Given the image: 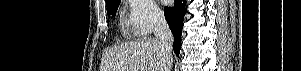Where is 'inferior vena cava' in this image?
Masks as SVG:
<instances>
[{
  "instance_id": "inferior-vena-cava-1",
  "label": "inferior vena cava",
  "mask_w": 301,
  "mask_h": 71,
  "mask_svg": "<svg viewBox=\"0 0 301 71\" xmlns=\"http://www.w3.org/2000/svg\"><path fill=\"white\" fill-rule=\"evenodd\" d=\"M154 34L155 39L158 41L159 47L164 55V66L162 71H171V52L174 37L167 24L165 16L162 13H156L154 15Z\"/></svg>"
}]
</instances>
